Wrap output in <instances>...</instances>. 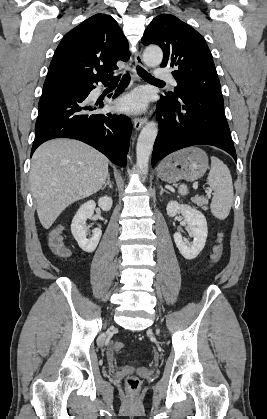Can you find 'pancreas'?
Masks as SVG:
<instances>
[{"label":"pancreas","instance_id":"pancreas-1","mask_svg":"<svg viewBox=\"0 0 267 419\" xmlns=\"http://www.w3.org/2000/svg\"><path fill=\"white\" fill-rule=\"evenodd\" d=\"M192 201L197 204L198 206H200L203 210H207V200L202 198V197H194L192 198Z\"/></svg>","mask_w":267,"mask_h":419}]
</instances>
